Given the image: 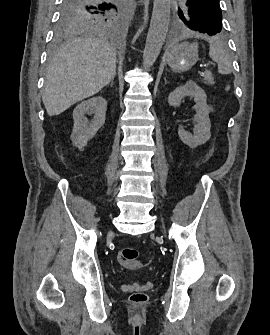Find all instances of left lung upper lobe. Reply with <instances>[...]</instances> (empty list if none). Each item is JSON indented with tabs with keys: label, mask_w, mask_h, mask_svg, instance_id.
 <instances>
[{
	"label": "left lung upper lobe",
	"mask_w": 270,
	"mask_h": 335,
	"mask_svg": "<svg viewBox=\"0 0 270 335\" xmlns=\"http://www.w3.org/2000/svg\"><path fill=\"white\" fill-rule=\"evenodd\" d=\"M183 24L191 30L209 36L222 31V13L219 0H186L178 7Z\"/></svg>",
	"instance_id": "obj_1"
}]
</instances>
